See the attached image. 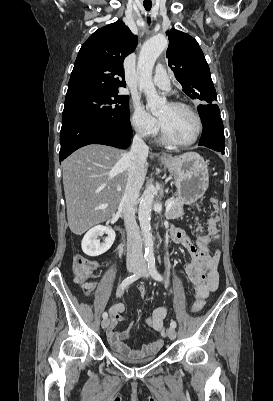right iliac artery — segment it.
Instances as JSON below:
<instances>
[{"instance_id": "obj_1", "label": "right iliac artery", "mask_w": 273, "mask_h": 401, "mask_svg": "<svg viewBox=\"0 0 273 401\" xmlns=\"http://www.w3.org/2000/svg\"><path fill=\"white\" fill-rule=\"evenodd\" d=\"M140 276H141V272H138V273H135V274H133V275H131V276L125 278V279L122 281V283H121V285H120V287H119V291L124 290V288H126V287L129 286L131 283H133L134 281H136ZM102 316H103L104 319L107 318V317H108L107 312H104Z\"/></svg>"}]
</instances>
